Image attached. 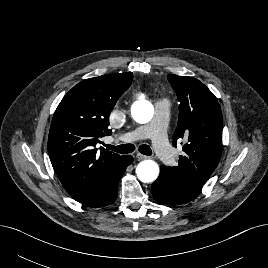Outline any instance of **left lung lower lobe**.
<instances>
[{
    "label": "left lung lower lobe",
    "instance_id": "0a47b994",
    "mask_svg": "<svg viewBox=\"0 0 268 268\" xmlns=\"http://www.w3.org/2000/svg\"><path fill=\"white\" fill-rule=\"evenodd\" d=\"M151 193L156 201L171 205L188 203L199 195L172 182L168 174L162 170V166L159 177L151 186Z\"/></svg>",
    "mask_w": 268,
    "mask_h": 268
}]
</instances>
